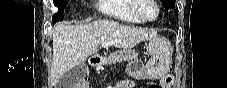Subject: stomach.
I'll use <instances>...</instances> for the list:
<instances>
[{"instance_id":"stomach-1","label":"stomach","mask_w":227,"mask_h":88,"mask_svg":"<svg viewBox=\"0 0 227 88\" xmlns=\"http://www.w3.org/2000/svg\"><path fill=\"white\" fill-rule=\"evenodd\" d=\"M147 52L151 56L145 66L129 69L130 74L137 79H157L163 77L170 69L173 48L171 42L155 36L148 40Z\"/></svg>"}]
</instances>
